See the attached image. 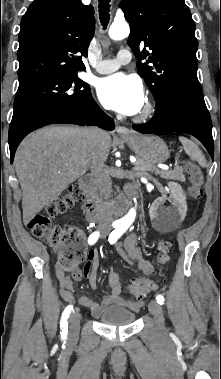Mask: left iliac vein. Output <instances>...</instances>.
<instances>
[{"label": "left iliac vein", "instance_id": "1", "mask_svg": "<svg viewBox=\"0 0 221 379\" xmlns=\"http://www.w3.org/2000/svg\"><path fill=\"white\" fill-rule=\"evenodd\" d=\"M150 313L153 315L155 324L159 330H164V317L162 308L156 301L152 300L148 305Z\"/></svg>", "mask_w": 221, "mask_h": 379}]
</instances>
